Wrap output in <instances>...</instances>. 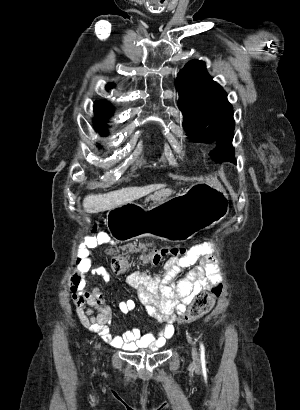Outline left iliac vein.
<instances>
[{
	"mask_svg": "<svg viewBox=\"0 0 300 410\" xmlns=\"http://www.w3.org/2000/svg\"><path fill=\"white\" fill-rule=\"evenodd\" d=\"M192 359H193V362L195 364L199 363L198 352H197V349L195 348V346L192 347Z\"/></svg>",
	"mask_w": 300,
	"mask_h": 410,
	"instance_id": "obj_1",
	"label": "left iliac vein"
}]
</instances>
